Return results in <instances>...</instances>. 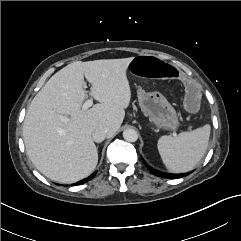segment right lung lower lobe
<instances>
[{
  "mask_svg": "<svg viewBox=\"0 0 241 241\" xmlns=\"http://www.w3.org/2000/svg\"><path fill=\"white\" fill-rule=\"evenodd\" d=\"M94 176H95V173H94V174H92V175H91L89 178L84 179V180H82V181L78 182V184H83V183H86L87 181L91 180V179H92Z\"/></svg>",
  "mask_w": 241,
  "mask_h": 241,
  "instance_id": "right-lung-lower-lobe-1",
  "label": "right lung lower lobe"
}]
</instances>
